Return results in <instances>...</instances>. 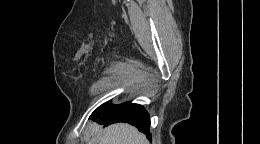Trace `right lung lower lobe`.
Segmentation results:
<instances>
[{
  "instance_id": "obj_1",
  "label": "right lung lower lobe",
  "mask_w": 260,
  "mask_h": 144,
  "mask_svg": "<svg viewBox=\"0 0 260 144\" xmlns=\"http://www.w3.org/2000/svg\"><path fill=\"white\" fill-rule=\"evenodd\" d=\"M90 118L99 119V123L104 124V126L118 122L130 123L140 132L147 134L148 139H151L149 115L142 105L125 102L113 106L107 102L99 107Z\"/></svg>"
}]
</instances>
